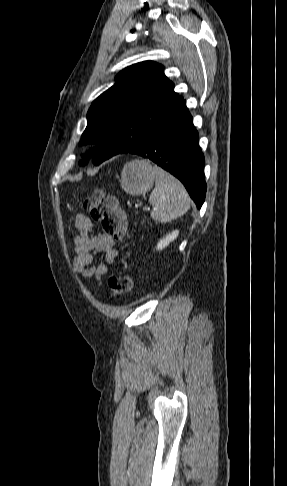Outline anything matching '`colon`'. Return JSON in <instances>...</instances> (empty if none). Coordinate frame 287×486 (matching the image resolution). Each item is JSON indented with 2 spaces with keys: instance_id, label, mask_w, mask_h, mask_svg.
<instances>
[{
  "instance_id": "5ec220e1",
  "label": "colon",
  "mask_w": 287,
  "mask_h": 486,
  "mask_svg": "<svg viewBox=\"0 0 287 486\" xmlns=\"http://www.w3.org/2000/svg\"><path fill=\"white\" fill-rule=\"evenodd\" d=\"M84 207L101 224L105 234L119 241L125 238L128 222L115 197L107 195L102 189H95L84 199ZM108 286L112 296H121L131 289L132 279L126 274H113Z\"/></svg>"
}]
</instances>
